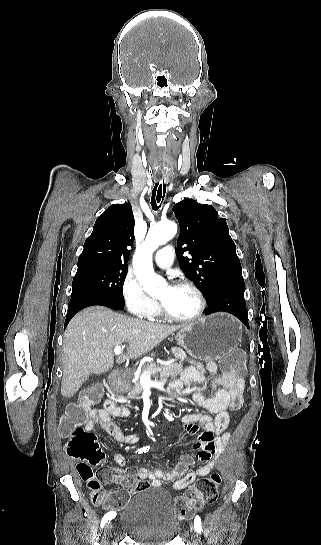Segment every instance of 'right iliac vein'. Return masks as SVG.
<instances>
[{
  "label": "right iliac vein",
  "mask_w": 321,
  "mask_h": 545,
  "mask_svg": "<svg viewBox=\"0 0 321 545\" xmlns=\"http://www.w3.org/2000/svg\"><path fill=\"white\" fill-rule=\"evenodd\" d=\"M112 524L108 522L105 526V534H108V532L111 530Z\"/></svg>",
  "instance_id": "obj_1"
}]
</instances>
